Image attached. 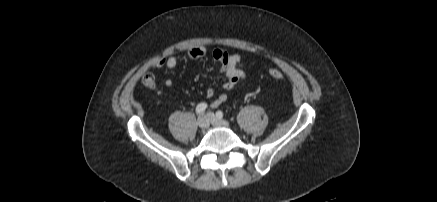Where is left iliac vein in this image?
<instances>
[{"label":"left iliac vein","instance_id":"1","mask_svg":"<svg viewBox=\"0 0 437 202\" xmlns=\"http://www.w3.org/2000/svg\"><path fill=\"white\" fill-rule=\"evenodd\" d=\"M207 116H208L210 122H211L213 125H216V126H225V127L229 126V123H228L226 120H223V119L217 118V117L215 116V114L212 113V112H209V113L207 114Z\"/></svg>","mask_w":437,"mask_h":202}]
</instances>
